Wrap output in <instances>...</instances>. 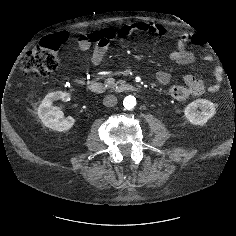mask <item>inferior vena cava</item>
<instances>
[{"mask_svg": "<svg viewBox=\"0 0 236 236\" xmlns=\"http://www.w3.org/2000/svg\"><path fill=\"white\" fill-rule=\"evenodd\" d=\"M103 104L106 107H113L117 104V98L114 95H107L103 99Z\"/></svg>", "mask_w": 236, "mask_h": 236, "instance_id": "1", "label": "inferior vena cava"}]
</instances>
